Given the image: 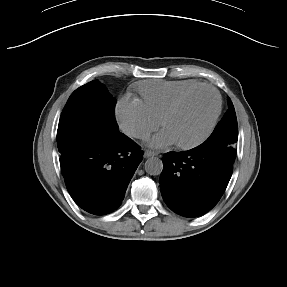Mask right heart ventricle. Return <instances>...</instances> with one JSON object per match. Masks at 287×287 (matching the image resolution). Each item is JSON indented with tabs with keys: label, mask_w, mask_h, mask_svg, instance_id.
Masks as SVG:
<instances>
[{
	"label": "right heart ventricle",
	"mask_w": 287,
	"mask_h": 287,
	"mask_svg": "<svg viewBox=\"0 0 287 287\" xmlns=\"http://www.w3.org/2000/svg\"><path fill=\"white\" fill-rule=\"evenodd\" d=\"M200 84L195 80L146 81L138 85V91L150 113L161 120L164 113L179 96Z\"/></svg>",
	"instance_id": "1"
}]
</instances>
